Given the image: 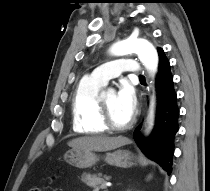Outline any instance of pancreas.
Masks as SVG:
<instances>
[{
  "label": "pancreas",
  "mask_w": 210,
  "mask_h": 191,
  "mask_svg": "<svg viewBox=\"0 0 210 191\" xmlns=\"http://www.w3.org/2000/svg\"><path fill=\"white\" fill-rule=\"evenodd\" d=\"M81 180L87 186L93 188V191H99L106 188V180H109V177L101 178L100 175L83 174Z\"/></svg>",
  "instance_id": "pancreas-1"
}]
</instances>
